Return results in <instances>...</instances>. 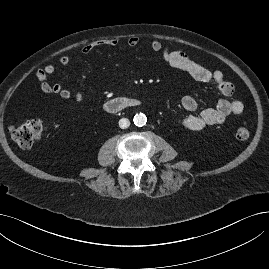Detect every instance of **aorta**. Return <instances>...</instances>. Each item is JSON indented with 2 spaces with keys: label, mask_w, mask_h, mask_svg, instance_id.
<instances>
[{
  "label": "aorta",
  "mask_w": 269,
  "mask_h": 269,
  "mask_svg": "<svg viewBox=\"0 0 269 269\" xmlns=\"http://www.w3.org/2000/svg\"><path fill=\"white\" fill-rule=\"evenodd\" d=\"M133 122L136 126H144L147 122V117L143 113L136 114L133 118Z\"/></svg>",
  "instance_id": "1"
}]
</instances>
